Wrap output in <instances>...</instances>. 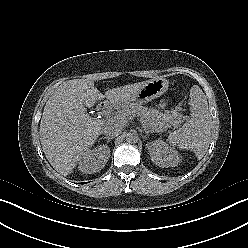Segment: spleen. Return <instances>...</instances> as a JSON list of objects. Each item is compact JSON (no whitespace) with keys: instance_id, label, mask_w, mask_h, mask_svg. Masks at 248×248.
<instances>
[{"instance_id":"1","label":"spleen","mask_w":248,"mask_h":248,"mask_svg":"<svg viewBox=\"0 0 248 248\" xmlns=\"http://www.w3.org/2000/svg\"><path fill=\"white\" fill-rule=\"evenodd\" d=\"M190 118L178 130L170 133L168 142L179 149L191 150L200 159L210 143L211 115L202 89L194 85L190 90Z\"/></svg>"}]
</instances>
